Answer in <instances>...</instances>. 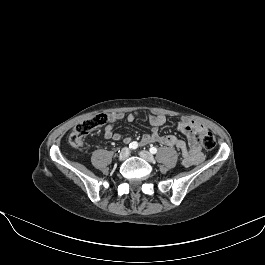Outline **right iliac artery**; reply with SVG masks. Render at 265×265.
Here are the masks:
<instances>
[{"instance_id":"1","label":"right iliac artery","mask_w":265,"mask_h":265,"mask_svg":"<svg viewBox=\"0 0 265 265\" xmlns=\"http://www.w3.org/2000/svg\"><path fill=\"white\" fill-rule=\"evenodd\" d=\"M138 147V143L136 141H133L129 144L130 149H136Z\"/></svg>"}]
</instances>
